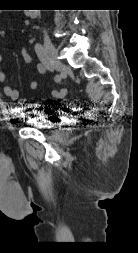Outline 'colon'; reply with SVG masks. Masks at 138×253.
<instances>
[{
	"mask_svg": "<svg viewBox=\"0 0 138 253\" xmlns=\"http://www.w3.org/2000/svg\"><path fill=\"white\" fill-rule=\"evenodd\" d=\"M65 95H66V89L64 88L54 91V96L57 98H62Z\"/></svg>",
	"mask_w": 138,
	"mask_h": 253,
	"instance_id": "1",
	"label": "colon"
}]
</instances>
